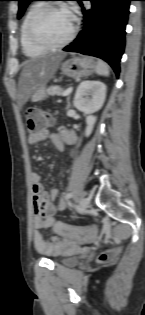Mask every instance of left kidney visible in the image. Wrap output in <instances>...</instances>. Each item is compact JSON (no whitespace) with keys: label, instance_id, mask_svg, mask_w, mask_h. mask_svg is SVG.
Segmentation results:
<instances>
[{"label":"left kidney","instance_id":"obj_1","mask_svg":"<svg viewBox=\"0 0 145 315\" xmlns=\"http://www.w3.org/2000/svg\"><path fill=\"white\" fill-rule=\"evenodd\" d=\"M106 98V85L101 81H83L76 90L74 106L87 115L85 136L88 137L93 131L96 116L92 114L99 111Z\"/></svg>","mask_w":145,"mask_h":315}]
</instances>
